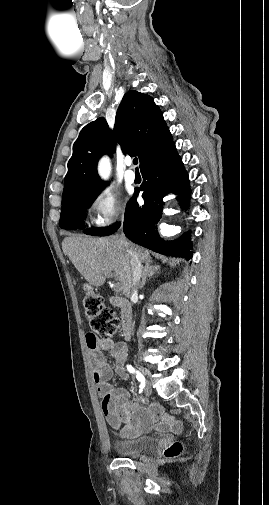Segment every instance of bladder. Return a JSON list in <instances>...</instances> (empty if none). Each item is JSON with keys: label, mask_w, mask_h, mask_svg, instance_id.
<instances>
[{"label": "bladder", "mask_w": 269, "mask_h": 505, "mask_svg": "<svg viewBox=\"0 0 269 505\" xmlns=\"http://www.w3.org/2000/svg\"><path fill=\"white\" fill-rule=\"evenodd\" d=\"M154 445V439L150 436H142L132 440H123L114 442V448L121 456L139 455Z\"/></svg>", "instance_id": "1"}]
</instances>
